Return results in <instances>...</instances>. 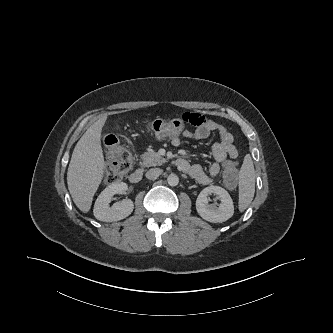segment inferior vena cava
I'll return each instance as SVG.
<instances>
[{"mask_svg": "<svg viewBox=\"0 0 333 333\" xmlns=\"http://www.w3.org/2000/svg\"><path fill=\"white\" fill-rule=\"evenodd\" d=\"M162 170L160 168H152L146 173V178L150 180H155L157 179L161 174Z\"/></svg>", "mask_w": 333, "mask_h": 333, "instance_id": "602c4592", "label": "inferior vena cava"}]
</instances>
